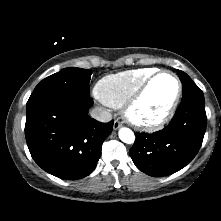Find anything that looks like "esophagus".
I'll return each instance as SVG.
<instances>
[{
    "instance_id": "esophagus-1",
    "label": "esophagus",
    "mask_w": 221,
    "mask_h": 221,
    "mask_svg": "<svg viewBox=\"0 0 221 221\" xmlns=\"http://www.w3.org/2000/svg\"><path fill=\"white\" fill-rule=\"evenodd\" d=\"M121 126H122V121H120L118 119L114 121V124H113L114 130L119 129Z\"/></svg>"
}]
</instances>
